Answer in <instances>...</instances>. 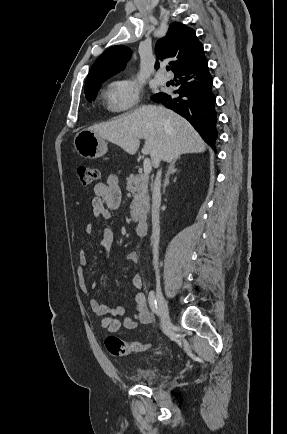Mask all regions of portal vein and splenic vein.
Masks as SVG:
<instances>
[{
  "label": "portal vein and splenic vein",
  "mask_w": 287,
  "mask_h": 434,
  "mask_svg": "<svg viewBox=\"0 0 287 434\" xmlns=\"http://www.w3.org/2000/svg\"><path fill=\"white\" fill-rule=\"evenodd\" d=\"M143 168H144V175L148 178V175L152 171V165L149 158H145L143 162Z\"/></svg>",
  "instance_id": "1"
}]
</instances>
